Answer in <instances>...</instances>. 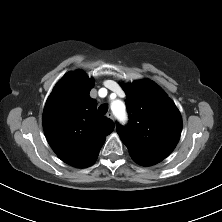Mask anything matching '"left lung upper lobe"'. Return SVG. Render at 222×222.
<instances>
[{"mask_svg": "<svg viewBox=\"0 0 222 222\" xmlns=\"http://www.w3.org/2000/svg\"><path fill=\"white\" fill-rule=\"evenodd\" d=\"M129 124H117V133L132 159L143 166L154 165L176 147L182 130L179 110L166 93L150 80L123 85Z\"/></svg>", "mask_w": 222, "mask_h": 222, "instance_id": "obj_1", "label": "left lung upper lobe"}]
</instances>
